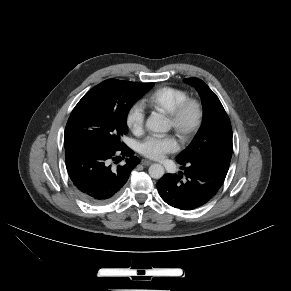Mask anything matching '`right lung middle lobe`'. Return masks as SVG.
Returning a JSON list of instances; mask_svg holds the SVG:
<instances>
[{
  "mask_svg": "<svg viewBox=\"0 0 291 291\" xmlns=\"http://www.w3.org/2000/svg\"><path fill=\"white\" fill-rule=\"evenodd\" d=\"M153 83L109 79L95 86L73 109L64 133V147L79 143L121 147L127 114Z\"/></svg>",
  "mask_w": 291,
  "mask_h": 291,
  "instance_id": "dd1d6c3e",
  "label": "right lung middle lobe"
}]
</instances>
